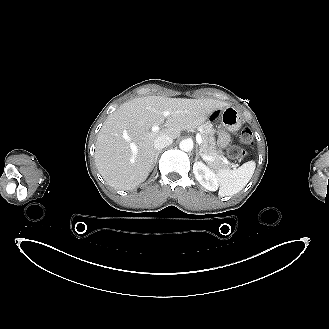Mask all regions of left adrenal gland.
Masks as SVG:
<instances>
[{"instance_id": "1", "label": "left adrenal gland", "mask_w": 329, "mask_h": 329, "mask_svg": "<svg viewBox=\"0 0 329 329\" xmlns=\"http://www.w3.org/2000/svg\"><path fill=\"white\" fill-rule=\"evenodd\" d=\"M198 158H200V154H199L198 150H196V157H195V160H197Z\"/></svg>"}]
</instances>
